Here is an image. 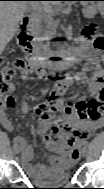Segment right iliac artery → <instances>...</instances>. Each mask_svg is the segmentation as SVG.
Here are the masks:
<instances>
[{
    "label": "right iliac artery",
    "mask_w": 104,
    "mask_h": 189,
    "mask_svg": "<svg viewBox=\"0 0 104 189\" xmlns=\"http://www.w3.org/2000/svg\"><path fill=\"white\" fill-rule=\"evenodd\" d=\"M15 146H17V142L14 140Z\"/></svg>",
    "instance_id": "obj_1"
}]
</instances>
